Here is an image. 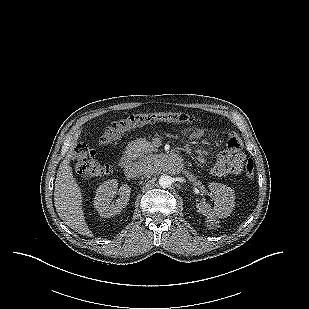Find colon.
Returning a JSON list of instances; mask_svg holds the SVG:
<instances>
[{"instance_id": "colon-1", "label": "colon", "mask_w": 309, "mask_h": 309, "mask_svg": "<svg viewBox=\"0 0 309 309\" xmlns=\"http://www.w3.org/2000/svg\"><path fill=\"white\" fill-rule=\"evenodd\" d=\"M195 120L196 118L193 115L182 112L131 114L105 128L100 137V143L103 146H110L130 130L153 122L165 121L188 124L195 122ZM228 144L234 148H239L240 140L235 136L228 140ZM74 152L76 155L74 167L77 173L85 177H101L110 173L111 167L108 164L99 163L96 159L95 151L88 145L79 143L74 148ZM254 170L253 160L248 159L245 164L246 177L249 179L253 178Z\"/></svg>"}]
</instances>
